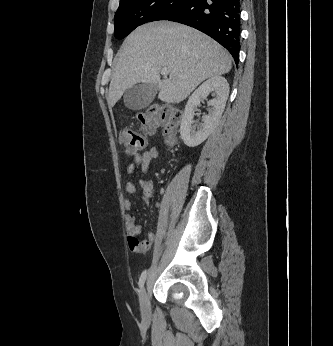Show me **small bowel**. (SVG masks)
<instances>
[{
    "mask_svg": "<svg viewBox=\"0 0 333 346\" xmlns=\"http://www.w3.org/2000/svg\"><path fill=\"white\" fill-rule=\"evenodd\" d=\"M158 158V150L156 147H151L142 154H136L131 163L128 164L126 172L128 175H133L138 169L142 172L147 173L153 164V161ZM141 186L144 190L143 201L145 203H150L153 192L154 185L152 182L142 180ZM126 192L129 195H134L137 191L136 186L133 182L126 183ZM124 206L127 210H131L133 203L131 200L126 199ZM126 229L128 233L127 246L132 250L133 254H150L154 240L155 234L150 232L145 239H138L141 233V227L137 222L134 215L129 214L126 218Z\"/></svg>",
    "mask_w": 333,
    "mask_h": 346,
    "instance_id": "small-bowel-1",
    "label": "small bowel"
}]
</instances>
